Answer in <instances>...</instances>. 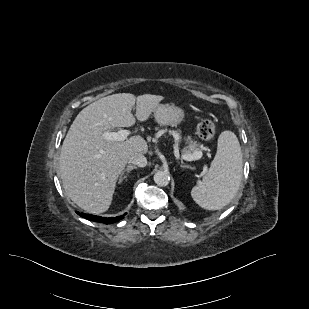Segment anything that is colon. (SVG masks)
Instances as JSON below:
<instances>
[{
  "label": "colon",
  "instance_id": "5ec220e1",
  "mask_svg": "<svg viewBox=\"0 0 309 309\" xmlns=\"http://www.w3.org/2000/svg\"><path fill=\"white\" fill-rule=\"evenodd\" d=\"M215 132V125L210 119H203L199 122L197 127V133L200 139L203 141H209L212 139Z\"/></svg>",
  "mask_w": 309,
  "mask_h": 309
}]
</instances>
